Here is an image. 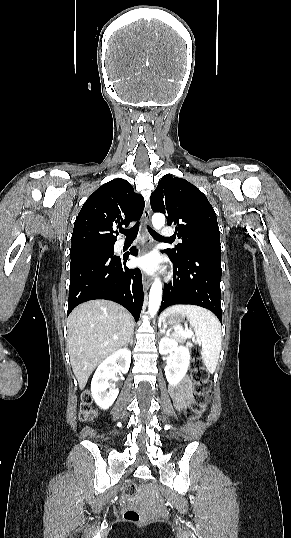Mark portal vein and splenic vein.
Segmentation results:
<instances>
[{"label": "portal vein and splenic vein", "mask_w": 291, "mask_h": 538, "mask_svg": "<svg viewBox=\"0 0 291 538\" xmlns=\"http://www.w3.org/2000/svg\"><path fill=\"white\" fill-rule=\"evenodd\" d=\"M179 334L182 335V336H185V337H193V332L192 331L180 332Z\"/></svg>", "instance_id": "18ae733b"}]
</instances>
